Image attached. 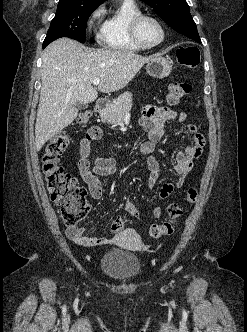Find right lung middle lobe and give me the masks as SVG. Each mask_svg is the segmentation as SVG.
Segmentation results:
<instances>
[{
	"instance_id": "1",
	"label": "right lung middle lobe",
	"mask_w": 247,
	"mask_h": 332,
	"mask_svg": "<svg viewBox=\"0 0 247 332\" xmlns=\"http://www.w3.org/2000/svg\"><path fill=\"white\" fill-rule=\"evenodd\" d=\"M101 3L80 0H60L47 36L69 37L84 43L86 25L91 13Z\"/></svg>"
}]
</instances>
